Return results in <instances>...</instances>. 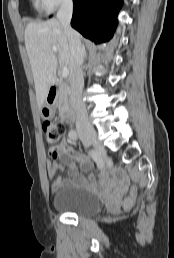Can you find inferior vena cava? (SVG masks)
<instances>
[{
    "label": "inferior vena cava",
    "mask_w": 174,
    "mask_h": 258,
    "mask_svg": "<svg viewBox=\"0 0 174 258\" xmlns=\"http://www.w3.org/2000/svg\"><path fill=\"white\" fill-rule=\"evenodd\" d=\"M73 13V1L63 0L57 13V19L63 27L68 39L71 59H70V101L76 113V128L78 132L93 131V127L88 119L86 106L82 101V90L84 85L82 64L85 57V48L81 44L79 34L72 29L70 21Z\"/></svg>",
    "instance_id": "inferior-vena-cava-1"
}]
</instances>
